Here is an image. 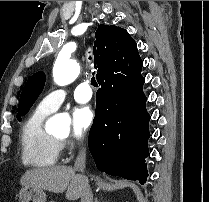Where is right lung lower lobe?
Wrapping results in <instances>:
<instances>
[{
  "instance_id": "right-lung-lower-lobe-1",
  "label": "right lung lower lobe",
  "mask_w": 209,
  "mask_h": 202,
  "mask_svg": "<svg viewBox=\"0 0 209 202\" xmlns=\"http://www.w3.org/2000/svg\"><path fill=\"white\" fill-rule=\"evenodd\" d=\"M139 75L130 84L96 94V112L89 132V149L100 171L144 184L148 171L150 116Z\"/></svg>"
}]
</instances>
